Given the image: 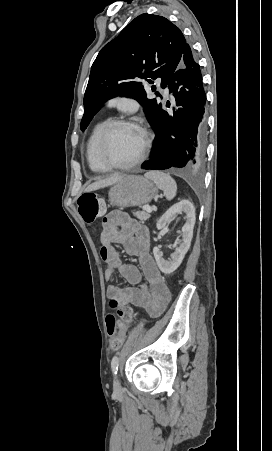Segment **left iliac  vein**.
I'll use <instances>...</instances> for the list:
<instances>
[{"label":"left iliac vein","mask_w":272,"mask_h":451,"mask_svg":"<svg viewBox=\"0 0 272 451\" xmlns=\"http://www.w3.org/2000/svg\"><path fill=\"white\" fill-rule=\"evenodd\" d=\"M113 386H114V390H115V391H117L118 389H120V383H119L117 377L114 378Z\"/></svg>","instance_id":"1"}]
</instances>
